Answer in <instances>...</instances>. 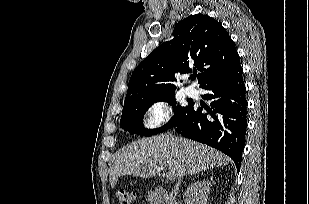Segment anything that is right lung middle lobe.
I'll use <instances>...</instances> for the list:
<instances>
[{
	"label": "right lung middle lobe",
	"mask_w": 309,
	"mask_h": 204,
	"mask_svg": "<svg viewBox=\"0 0 309 204\" xmlns=\"http://www.w3.org/2000/svg\"><path fill=\"white\" fill-rule=\"evenodd\" d=\"M159 101H166L170 105H175V92L125 101L120 127L130 134L152 136L176 126L190 107V105L186 107L174 106V116L166 125L157 129H145L143 126V116L152 104Z\"/></svg>",
	"instance_id": "obj_1"
}]
</instances>
